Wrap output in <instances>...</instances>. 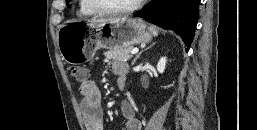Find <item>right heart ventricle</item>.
<instances>
[{
	"instance_id": "right-heart-ventricle-1",
	"label": "right heart ventricle",
	"mask_w": 257,
	"mask_h": 130,
	"mask_svg": "<svg viewBox=\"0 0 257 130\" xmlns=\"http://www.w3.org/2000/svg\"><path fill=\"white\" fill-rule=\"evenodd\" d=\"M78 14L82 15V16H93L94 13L92 10H90L86 3L85 0H79L78 1Z\"/></svg>"
}]
</instances>
